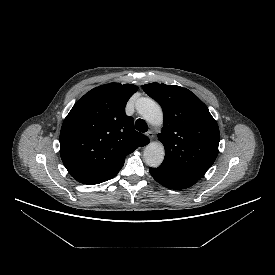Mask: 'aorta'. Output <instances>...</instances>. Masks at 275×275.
<instances>
[{"mask_svg": "<svg viewBox=\"0 0 275 275\" xmlns=\"http://www.w3.org/2000/svg\"><path fill=\"white\" fill-rule=\"evenodd\" d=\"M139 114L152 125H162L163 112L158 103L150 98H141L138 101ZM164 146L159 142L149 143L144 150L145 163L150 167H159L164 160Z\"/></svg>", "mask_w": 275, "mask_h": 275, "instance_id": "aorta-1", "label": "aorta"}]
</instances>
